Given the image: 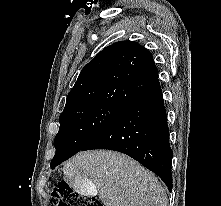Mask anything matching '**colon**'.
Here are the masks:
<instances>
[{
	"instance_id": "obj_1",
	"label": "colon",
	"mask_w": 221,
	"mask_h": 206,
	"mask_svg": "<svg viewBox=\"0 0 221 206\" xmlns=\"http://www.w3.org/2000/svg\"><path fill=\"white\" fill-rule=\"evenodd\" d=\"M50 203L51 206H103L94 198H82L80 194H72L71 187L64 181L52 188Z\"/></svg>"
}]
</instances>
